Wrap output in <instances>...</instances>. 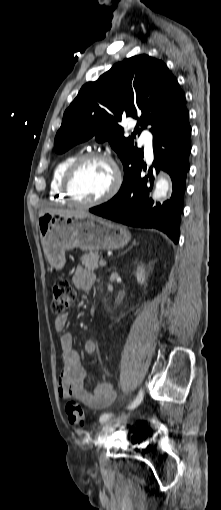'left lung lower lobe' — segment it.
<instances>
[{
    "instance_id": "0a47b994",
    "label": "left lung lower lobe",
    "mask_w": 221,
    "mask_h": 510,
    "mask_svg": "<svg viewBox=\"0 0 221 510\" xmlns=\"http://www.w3.org/2000/svg\"><path fill=\"white\" fill-rule=\"evenodd\" d=\"M189 117V116H188ZM191 127L188 118L158 132L153 138V167L157 172L170 174L173 193L163 204L149 199L153 178L141 177L144 163L129 175L119 192L110 201L89 209L91 213L125 225L143 228H156L166 233L175 243L179 240L180 216L189 171ZM146 166H144V170ZM152 171V168H151Z\"/></svg>"
}]
</instances>
